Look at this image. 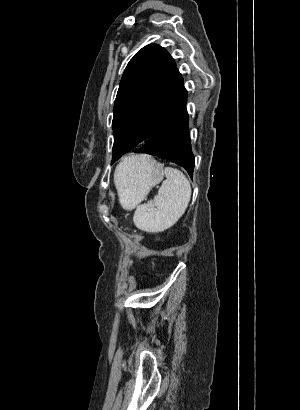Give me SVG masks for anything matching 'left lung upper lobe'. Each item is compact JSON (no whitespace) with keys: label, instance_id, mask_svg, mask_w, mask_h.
Here are the masks:
<instances>
[{"label":"left lung upper lobe","instance_id":"obj_1","mask_svg":"<svg viewBox=\"0 0 300 410\" xmlns=\"http://www.w3.org/2000/svg\"><path fill=\"white\" fill-rule=\"evenodd\" d=\"M186 93L169 53L156 44L141 48L129 61L117 92L112 163L147 140Z\"/></svg>","mask_w":300,"mask_h":410}]
</instances>
